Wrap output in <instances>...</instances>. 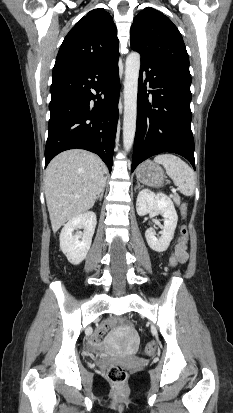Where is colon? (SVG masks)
I'll list each match as a JSON object with an SVG mask.
<instances>
[{
    "mask_svg": "<svg viewBox=\"0 0 233 413\" xmlns=\"http://www.w3.org/2000/svg\"><path fill=\"white\" fill-rule=\"evenodd\" d=\"M182 214L183 216H186L187 214V207L185 204L182 206ZM179 236L181 238L182 243L187 242L188 230L185 225L182 226ZM178 262H179V253L177 249L174 251V254L170 258L169 266L171 268H174L176 267ZM155 347H156L155 343L150 342L145 346L144 352L147 355H151L154 353ZM107 374H108L109 379L113 381L114 383H122L127 377V369L122 365L115 364V365H111L108 368Z\"/></svg>",
    "mask_w": 233,
    "mask_h": 413,
    "instance_id": "obj_1",
    "label": "colon"
}]
</instances>
